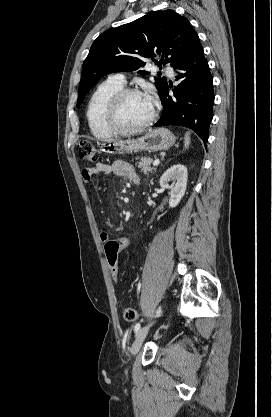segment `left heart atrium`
<instances>
[{
    "label": "left heart atrium",
    "instance_id": "1",
    "mask_svg": "<svg viewBox=\"0 0 272 417\" xmlns=\"http://www.w3.org/2000/svg\"><path fill=\"white\" fill-rule=\"evenodd\" d=\"M148 100H149L151 106L153 107L154 106L153 100L152 99H149V98H148Z\"/></svg>",
    "mask_w": 272,
    "mask_h": 417
}]
</instances>
